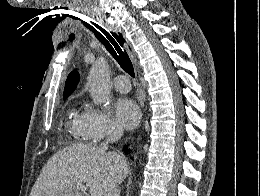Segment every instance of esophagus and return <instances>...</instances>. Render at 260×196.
I'll use <instances>...</instances> for the list:
<instances>
[{
	"instance_id": "1",
	"label": "esophagus",
	"mask_w": 260,
	"mask_h": 196,
	"mask_svg": "<svg viewBox=\"0 0 260 196\" xmlns=\"http://www.w3.org/2000/svg\"><path fill=\"white\" fill-rule=\"evenodd\" d=\"M118 31H119L120 33H122L120 29H118ZM125 48L127 49V51H128V53H129V55L131 56L132 60L135 61V54H134V52H133V50H132V47H131V45L129 44L128 41L126 42Z\"/></svg>"
}]
</instances>
